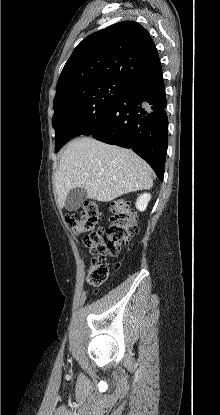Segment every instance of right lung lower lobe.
<instances>
[{
    "label": "right lung lower lobe",
    "mask_w": 220,
    "mask_h": 415,
    "mask_svg": "<svg viewBox=\"0 0 220 415\" xmlns=\"http://www.w3.org/2000/svg\"><path fill=\"white\" fill-rule=\"evenodd\" d=\"M167 105L162 70L130 84L92 137L132 149L162 181L168 146Z\"/></svg>",
    "instance_id": "right-lung-lower-lobe-1"
}]
</instances>
